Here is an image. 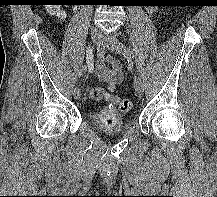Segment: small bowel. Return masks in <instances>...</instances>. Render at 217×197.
Instances as JSON below:
<instances>
[{"label": "small bowel", "mask_w": 217, "mask_h": 197, "mask_svg": "<svg viewBox=\"0 0 217 197\" xmlns=\"http://www.w3.org/2000/svg\"><path fill=\"white\" fill-rule=\"evenodd\" d=\"M96 73L100 80L106 83V87H95L89 89L88 95L94 100L102 99L106 91H115L117 85L123 81L121 62L113 56L106 55L104 49L98 54Z\"/></svg>", "instance_id": "1"}]
</instances>
